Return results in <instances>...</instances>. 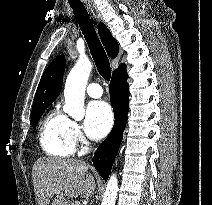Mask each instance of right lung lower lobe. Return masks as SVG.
<instances>
[{"label":"right lung lower lobe","mask_w":212,"mask_h":205,"mask_svg":"<svg viewBox=\"0 0 212 205\" xmlns=\"http://www.w3.org/2000/svg\"><path fill=\"white\" fill-rule=\"evenodd\" d=\"M127 79L125 64L113 72L109 91L115 123L109 136L97 148L92 160L94 167L105 181L110 174L127 122L129 111V86Z\"/></svg>","instance_id":"1"}]
</instances>
